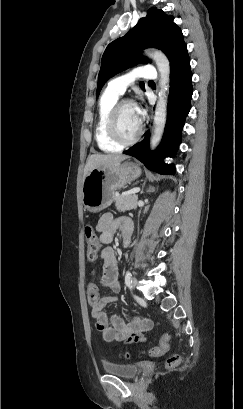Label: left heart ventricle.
Returning <instances> with one entry per match:
<instances>
[{
  "label": "left heart ventricle",
  "instance_id": "obj_1",
  "mask_svg": "<svg viewBox=\"0 0 243 409\" xmlns=\"http://www.w3.org/2000/svg\"><path fill=\"white\" fill-rule=\"evenodd\" d=\"M118 126L124 138L133 137L139 130L141 122L136 113L135 106H125L118 117Z\"/></svg>",
  "mask_w": 243,
  "mask_h": 409
}]
</instances>
